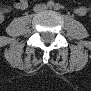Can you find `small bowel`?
<instances>
[{"instance_id": "small-bowel-1", "label": "small bowel", "mask_w": 91, "mask_h": 91, "mask_svg": "<svg viewBox=\"0 0 91 91\" xmlns=\"http://www.w3.org/2000/svg\"><path fill=\"white\" fill-rule=\"evenodd\" d=\"M28 6V3L26 0H16L14 2V8L18 9V10H24L26 9ZM8 11V10H7ZM76 13L77 14H84L85 13V9L83 7H79L76 9Z\"/></svg>"}]
</instances>
